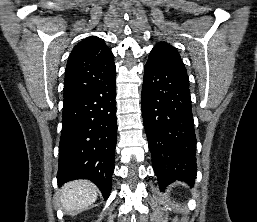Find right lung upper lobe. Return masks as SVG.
Returning a JSON list of instances; mask_svg holds the SVG:
<instances>
[{
	"label": "right lung upper lobe",
	"instance_id": "cb5924a9",
	"mask_svg": "<svg viewBox=\"0 0 257 222\" xmlns=\"http://www.w3.org/2000/svg\"><path fill=\"white\" fill-rule=\"evenodd\" d=\"M113 54L100 38L90 36L72 50L65 70L64 101L105 81L115 71Z\"/></svg>",
	"mask_w": 257,
	"mask_h": 222
}]
</instances>
